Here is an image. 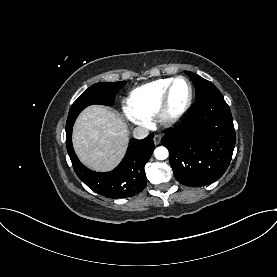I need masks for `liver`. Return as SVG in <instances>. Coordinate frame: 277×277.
Returning a JSON list of instances; mask_svg holds the SVG:
<instances>
[{"instance_id": "obj_1", "label": "liver", "mask_w": 277, "mask_h": 277, "mask_svg": "<svg viewBox=\"0 0 277 277\" xmlns=\"http://www.w3.org/2000/svg\"><path fill=\"white\" fill-rule=\"evenodd\" d=\"M72 140L79 159L87 167L100 172L110 171L126 151L127 125L105 107L93 105L77 118Z\"/></svg>"}]
</instances>
